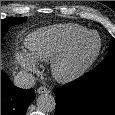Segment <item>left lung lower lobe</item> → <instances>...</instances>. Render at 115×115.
<instances>
[{
	"label": "left lung lower lobe",
	"instance_id": "0a47b994",
	"mask_svg": "<svg viewBox=\"0 0 115 115\" xmlns=\"http://www.w3.org/2000/svg\"><path fill=\"white\" fill-rule=\"evenodd\" d=\"M54 93L55 115H115V68H95Z\"/></svg>",
	"mask_w": 115,
	"mask_h": 115
}]
</instances>
